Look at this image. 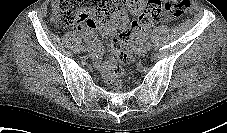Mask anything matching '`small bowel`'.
<instances>
[{
	"label": "small bowel",
	"instance_id": "c3829d8e",
	"mask_svg": "<svg viewBox=\"0 0 227 133\" xmlns=\"http://www.w3.org/2000/svg\"><path fill=\"white\" fill-rule=\"evenodd\" d=\"M142 3H143V0H129V2L126 5H128L132 11H135V5H142ZM123 7L116 10L115 15L110 22L101 24L100 30L104 34L114 35L117 32H120L121 34H123V33L128 32L131 29V26H129V23H128V16L122 9ZM93 28L80 26L79 30H80V33H81L82 37L84 38V40L87 41L94 49L96 60L100 61L101 49H100V45H99L98 41L94 38ZM144 32H145V30L139 34L138 38L143 37Z\"/></svg>",
	"mask_w": 227,
	"mask_h": 133
}]
</instances>
